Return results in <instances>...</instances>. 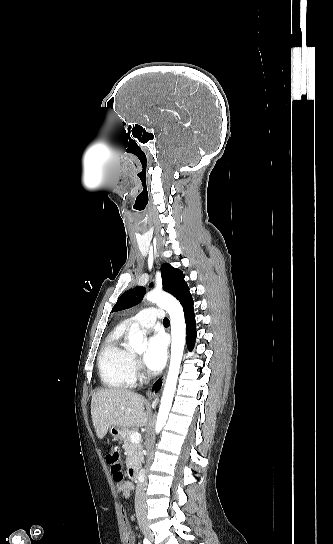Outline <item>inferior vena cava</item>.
Instances as JSON below:
<instances>
[{"label":"inferior vena cava","instance_id":"inferior-vena-cava-1","mask_svg":"<svg viewBox=\"0 0 333 544\" xmlns=\"http://www.w3.org/2000/svg\"><path fill=\"white\" fill-rule=\"evenodd\" d=\"M144 470H141L143 473ZM135 512L138 519L146 515V501H145V483L139 481L136 487L135 493Z\"/></svg>","mask_w":333,"mask_h":544}]
</instances>
